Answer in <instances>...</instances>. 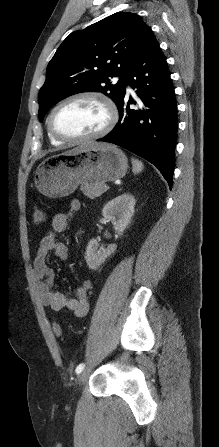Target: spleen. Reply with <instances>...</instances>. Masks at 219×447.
<instances>
[{"mask_svg": "<svg viewBox=\"0 0 219 447\" xmlns=\"http://www.w3.org/2000/svg\"><path fill=\"white\" fill-rule=\"evenodd\" d=\"M144 166L138 159L132 158V171L134 174H138L143 170Z\"/></svg>", "mask_w": 219, "mask_h": 447, "instance_id": "3e777b00", "label": "spleen"}]
</instances>
